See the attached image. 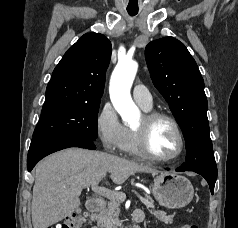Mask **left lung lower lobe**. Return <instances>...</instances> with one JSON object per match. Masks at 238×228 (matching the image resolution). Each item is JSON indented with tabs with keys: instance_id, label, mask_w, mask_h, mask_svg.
Segmentation results:
<instances>
[{
	"instance_id": "obj_1",
	"label": "left lung lower lobe",
	"mask_w": 238,
	"mask_h": 228,
	"mask_svg": "<svg viewBox=\"0 0 238 228\" xmlns=\"http://www.w3.org/2000/svg\"><path fill=\"white\" fill-rule=\"evenodd\" d=\"M176 171H179V172L192 171V172H196V173L202 175L206 179V181L208 182L209 187H210V191L213 194L214 185H215V182H216V179H217V174L207 172V171H204V170H198V169L188 170L186 168H183L182 166L179 167L178 169H176Z\"/></svg>"
}]
</instances>
